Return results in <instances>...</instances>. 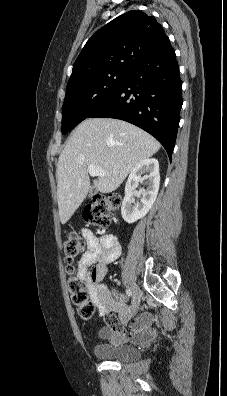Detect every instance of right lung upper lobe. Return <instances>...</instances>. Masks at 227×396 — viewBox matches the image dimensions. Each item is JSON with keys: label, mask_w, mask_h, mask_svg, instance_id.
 Returning <instances> with one entry per match:
<instances>
[{"label": "right lung upper lobe", "mask_w": 227, "mask_h": 396, "mask_svg": "<svg viewBox=\"0 0 227 396\" xmlns=\"http://www.w3.org/2000/svg\"><path fill=\"white\" fill-rule=\"evenodd\" d=\"M155 17L132 10L115 18L87 41L76 59L67 87L112 70H130L169 44Z\"/></svg>", "instance_id": "1"}]
</instances>
